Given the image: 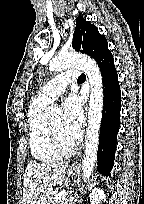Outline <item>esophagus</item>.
<instances>
[{"instance_id":"obj_1","label":"esophagus","mask_w":144,"mask_h":204,"mask_svg":"<svg viewBox=\"0 0 144 204\" xmlns=\"http://www.w3.org/2000/svg\"><path fill=\"white\" fill-rule=\"evenodd\" d=\"M81 156V154L79 155V157ZM78 161L79 159H77L73 164H72V168H76L78 166Z\"/></svg>"}]
</instances>
